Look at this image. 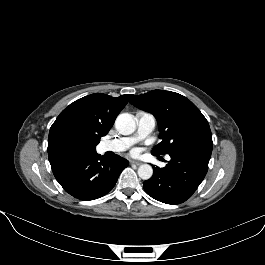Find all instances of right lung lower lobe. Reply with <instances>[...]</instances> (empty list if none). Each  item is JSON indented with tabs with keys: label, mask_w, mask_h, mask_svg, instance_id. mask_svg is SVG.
Instances as JSON below:
<instances>
[{
	"label": "right lung lower lobe",
	"mask_w": 265,
	"mask_h": 265,
	"mask_svg": "<svg viewBox=\"0 0 265 265\" xmlns=\"http://www.w3.org/2000/svg\"><path fill=\"white\" fill-rule=\"evenodd\" d=\"M56 180L80 200H94L107 194L129 162L115 155L104 159L96 150L58 149L48 153Z\"/></svg>",
	"instance_id": "98d812e1"
}]
</instances>
